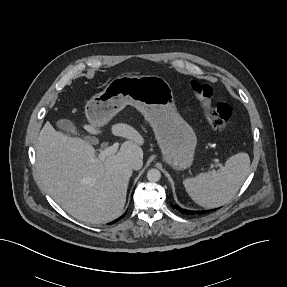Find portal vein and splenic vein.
<instances>
[{"label": "portal vein and splenic vein", "instance_id": "1", "mask_svg": "<svg viewBox=\"0 0 287 287\" xmlns=\"http://www.w3.org/2000/svg\"><path fill=\"white\" fill-rule=\"evenodd\" d=\"M119 148V143L115 142L113 145L108 146L106 148H104L103 150L100 151L98 158L100 160H104L107 156L113 155L118 151ZM219 166H221L219 164Z\"/></svg>", "mask_w": 287, "mask_h": 287}]
</instances>
